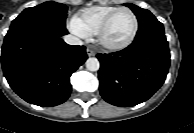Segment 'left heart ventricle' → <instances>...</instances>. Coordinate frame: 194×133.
Listing matches in <instances>:
<instances>
[{
  "instance_id": "left-heart-ventricle-1",
  "label": "left heart ventricle",
  "mask_w": 194,
  "mask_h": 133,
  "mask_svg": "<svg viewBox=\"0 0 194 133\" xmlns=\"http://www.w3.org/2000/svg\"><path fill=\"white\" fill-rule=\"evenodd\" d=\"M134 28V18L126 11H122L116 15L112 21L108 31L106 32L105 39L109 43H122L127 40Z\"/></svg>"
}]
</instances>
